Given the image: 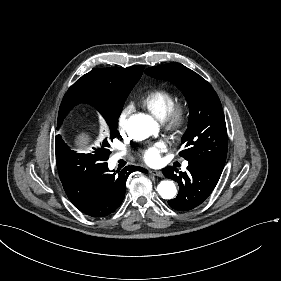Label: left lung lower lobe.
<instances>
[{"label":"left lung lower lobe","mask_w":281,"mask_h":281,"mask_svg":"<svg viewBox=\"0 0 281 281\" xmlns=\"http://www.w3.org/2000/svg\"><path fill=\"white\" fill-rule=\"evenodd\" d=\"M187 172L174 173L169 166L162 170L163 174L179 184V193L176 198L169 200L171 208L187 211L200 205L215 188L221 173L205 164L196 161H188ZM176 171V170H175Z\"/></svg>","instance_id":"left-lung-lower-lobe-1"}]
</instances>
